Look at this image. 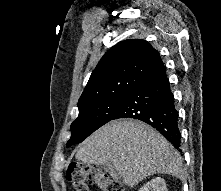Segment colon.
<instances>
[{
	"instance_id": "1",
	"label": "colon",
	"mask_w": 221,
	"mask_h": 191,
	"mask_svg": "<svg viewBox=\"0 0 221 191\" xmlns=\"http://www.w3.org/2000/svg\"><path fill=\"white\" fill-rule=\"evenodd\" d=\"M66 178L74 191H89V184L95 185L98 191H124L121 181L86 163H71Z\"/></svg>"
}]
</instances>
